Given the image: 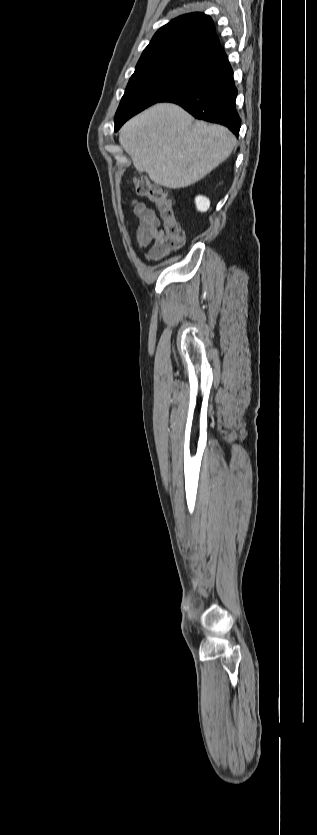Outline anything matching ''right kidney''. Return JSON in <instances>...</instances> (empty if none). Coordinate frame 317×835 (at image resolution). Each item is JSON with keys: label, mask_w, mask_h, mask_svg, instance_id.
<instances>
[{"label": "right kidney", "mask_w": 317, "mask_h": 835, "mask_svg": "<svg viewBox=\"0 0 317 835\" xmlns=\"http://www.w3.org/2000/svg\"><path fill=\"white\" fill-rule=\"evenodd\" d=\"M195 203L197 210L200 212H206L210 207L209 199L202 195H199L195 198Z\"/></svg>", "instance_id": "1"}]
</instances>
